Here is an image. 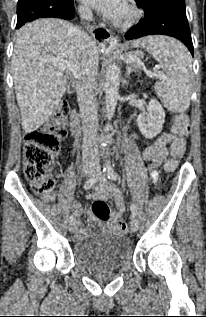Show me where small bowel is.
Here are the masks:
<instances>
[{"instance_id":"small-bowel-1","label":"small bowel","mask_w":206,"mask_h":317,"mask_svg":"<svg viewBox=\"0 0 206 317\" xmlns=\"http://www.w3.org/2000/svg\"><path fill=\"white\" fill-rule=\"evenodd\" d=\"M175 137L172 134L166 133L158 137L154 141H145L146 146L142 152L143 158L150 162L152 166L159 164L164 158H166L168 154L167 146L175 141ZM152 180L156 181L157 174L153 171L151 174ZM114 197L116 199V210L111 214L110 227L114 222L117 221L119 215L124 210V203L121 196V193L115 188H108L99 186L96 188V193L94 194V198H110ZM73 213L76 216H80L82 214V208L78 203H73L71 207ZM89 224L91 227H98L101 229H105L102 225L101 221L95 217L93 214H90ZM77 232L76 237L82 239L86 237L90 230L89 228L82 227L79 220H77Z\"/></svg>"}]
</instances>
